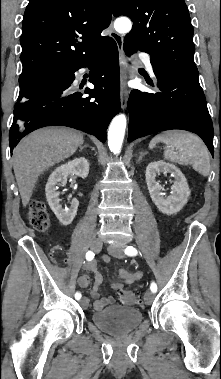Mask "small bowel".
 I'll use <instances>...</instances> for the list:
<instances>
[{"label": "small bowel", "instance_id": "obj_1", "mask_svg": "<svg viewBox=\"0 0 221 379\" xmlns=\"http://www.w3.org/2000/svg\"><path fill=\"white\" fill-rule=\"evenodd\" d=\"M105 262H109L108 258L104 259ZM85 270L93 272L95 274V281L93 289L90 292L91 297L95 300L94 308L95 310H102L107 305H110L114 302V298L112 296L102 297L99 293V289L103 284V276L98 272L97 265L94 261H89L84 265ZM118 277L120 278V282H116L112 284V289L115 290L118 294L124 291V287L134 283L142 277V273L140 271H129L125 269H121L118 271ZM78 284L81 288H87L90 285V277L87 274H82L78 278Z\"/></svg>", "mask_w": 221, "mask_h": 379}]
</instances>
